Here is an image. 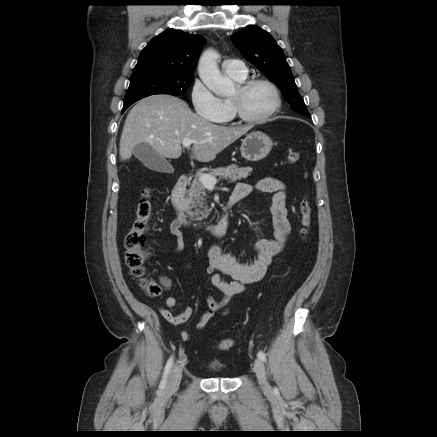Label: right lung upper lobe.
Returning <instances> with one entry per match:
<instances>
[{"instance_id": "cb5924a9", "label": "right lung upper lobe", "mask_w": 437, "mask_h": 437, "mask_svg": "<svg viewBox=\"0 0 437 437\" xmlns=\"http://www.w3.org/2000/svg\"><path fill=\"white\" fill-rule=\"evenodd\" d=\"M205 40L180 30H167L142 50L134 72L155 69L178 76L193 75Z\"/></svg>"}]
</instances>
